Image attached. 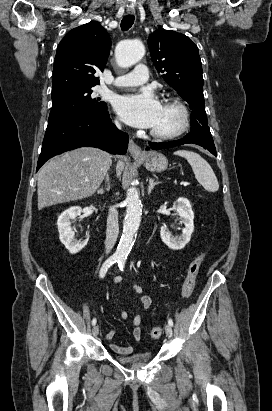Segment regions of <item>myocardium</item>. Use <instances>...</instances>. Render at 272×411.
<instances>
[{"mask_svg": "<svg viewBox=\"0 0 272 411\" xmlns=\"http://www.w3.org/2000/svg\"><path fill=\"white\" fill-rule=\"evenodd\" d=\"M164 105L171 106L178 110L180 114V122L178 126L170 132H159L154 129L150 131V134L155 139L159 140H172L181 136L188 128L190 122L189 111L184 103L175 98H168L165 100Z\"/></svg>", "mask_w": 272, "mask_h": 411, "instance_id": "1", "label": "myocardium"}]
</instances>
